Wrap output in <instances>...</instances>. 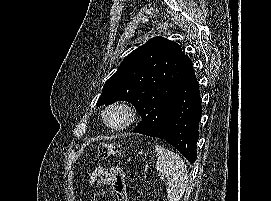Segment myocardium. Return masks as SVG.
Wrapping results in <instances>:
<instances>
[{
    "label": "myocardium",
    "instance_id": "1",
    "mask_svg": "<svg viewBox=\"0 0 271 201\" xmlns=\"http://www.w3.org/2000/svg\"><path fill=\"white\" fill-rule=\"evenodd\" d=\"M113 110H120L123 112L124 116H125V120L122 124L120 125H111L108 122V114L113 111ZM103 122L105 124V126L113 131H121L124 130L128 127H130L136 120V113L133 109V107L124 101H118V102H114L111 103L110 105H108L104 111H103Z\"/></svg>",
    "mask_w": 271,
    "mask_h": 201
}]
</instances>
